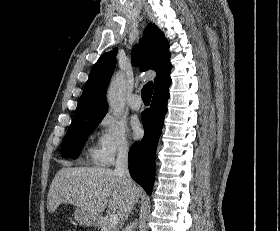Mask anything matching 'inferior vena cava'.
Wrapping results in <instances>:
<instances>
[{"label":"inferior vena cava","instance_id":"602c4592","mask_svg":"<svg viewBox=\"0 0 280 231\" xmlns=\"http://www.w3.org/2000/svg\"><path fill=\"white\" fill-rule=\"evenodd\" d=\"M114 171L116 175L124 177L125 181H127L129 185H131V183H134V181H132L130 177L128 169V143H126V141H120L118 145ZM124 231H133L132 225H126Z\"/></svg>","mask_w":280,"mask_h":231}]
</instances>
